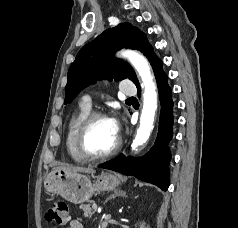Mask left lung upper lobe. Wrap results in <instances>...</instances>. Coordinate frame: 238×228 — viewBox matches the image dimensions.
<instances>
[{"label":"left lung upper lobe","mask_w":238,"mask_h":228,"mask_svg":"<svg viewBox=\"0 0 238 228\" xmlns=\"http://www.w3.org/2000/svg\"><path fill=\"white\" fill-rule=\"evenodd\" d=\"M121 48L137 49L147 58L154 52L146 35L130 23L104 31L78 52L68 71L64 104L71 102L78 93L97 79L115 81L129 78L135 85L138 80L132 67L122 61L113 60V54Z\"/></svg>","instance_id":"obj_1"}]
</instances>
